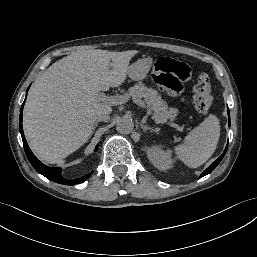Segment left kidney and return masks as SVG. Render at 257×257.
Wrapping results in <instances>:
<instances>
[{"label": "left kidney", "instance_id": "1", "mask_svg": "<svg viewBox=\"0 0 257 257\" xmlns=\"http://www.w3.org/2000/svg\"><path fill=\"white\" fill-rule=\"evenodd\" d=\"M147 157L159 170L169 169L173 163L171 151L163 150L162 146L160 145H154L148 148Z\"/></svg>", "mask_w": 257, "mask_h": 257}]
</instances>
